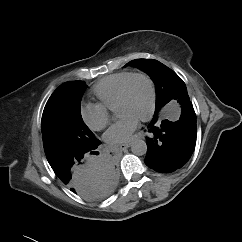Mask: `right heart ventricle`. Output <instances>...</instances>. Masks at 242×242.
Returning a JSON list of instances; mask_svg holds the SVG:
<instances>
[{"mask_svg":"<svg viewBox=\"0 0 242 242\" xmlns=\"http://www.w3.org/2000/svg\"><path fill=\"white\" fill-rule=\"evenodd\" d=\"M131 74L133 72L122 71L97 82L92 88V94L99 100V104L109 110H115L121 88Z\"/></svg>","mask_w":242,"mask_h":242,"instance_id":"1","label":"right heart ventricle"}]
</instances>
